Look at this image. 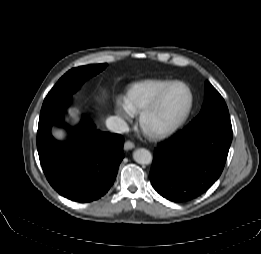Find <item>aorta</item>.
I'll use <instances>...</instances> for the list:
<instances>
[{
    "label": "aorta",
    "instance_id": "obj_1",
    "mask_svg": "<svg viewBox=\"0 0 261 254\" xmlns=\"http://www.w3.org/2000/svg\"><path fill=\"white\" fill-rule=\"evenodd\" d=\"M133 159L138 164L148 165L152 162V154L145 148H139L133 152Z\"/></svg>",
    "mask_w": 261,
    "mask_h": 254
}]
</instances>
